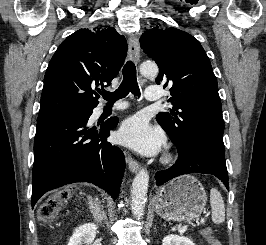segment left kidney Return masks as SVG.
I'll use <instances>...</instances> for the list:
<instances>
[{"label": "left kidney", "mask_w": 266, "mask_h": 245, "mask_svg": "<svg viewBox=\"0 0 266 245\" xmlns=\"http://www.w3.org/2000/svg\"><path fill=\"white\" fill-rule=\"evenodd\" d=\"M162 245H195L189 237H179V235H166Z\"/></svg>", "instance_id": "left-kidney-1"}]
</instances>
